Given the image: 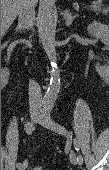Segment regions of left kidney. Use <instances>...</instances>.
<instances>
[{"instance_id": "5707ae66", "label": "left kidney", "mask_w": 109, "mask_h": 170, "mask_svg": "<svg viewBox=\"0 0 109 170\" xmlns=\"http://www.w3.org/2000/svg\"><path fill=\"white\" fill-rule=\"evenodd\" d=\"M87 31L91 36L100 39L106 45L109 44V29L107 25L94 21L88 25ZM95 68L96 71L102 76H107L109 73L108 65L101 66L96 64Z\"/></svg>"}]
</instances>
